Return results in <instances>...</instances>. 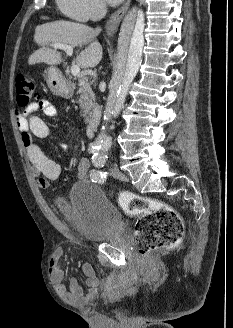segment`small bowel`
Masks as SVG:
<instances>
[{
	"label": "small bowel",
	"instance_id": "c3829d8e",
	"mask_svg": "<svg viewBox=\"0 0 233 328\" xmlns=\"http://www.w3.org/2000/svg\"><path fill=\"white\" fill-rule=\"evenodd\" d=\"M37 111H42L47 117H55L57 115V109L51 102L45 99L38 100L27 105L23 112H17V126L28 159L32 165L37 185L41 188H47L50 181L59 177L61 166L50 159L35 142V138H46L50 134L49 127L42 118L36 115ZM88 168L89 161L87 158H81L77 167V177L79 179L86 178ZM62 257L63 250H55L50 257L48 265L50 278L57 294L64 301L72 304H84L93 300L97 293L98 279L91 264L84 263L82 265L87 288L85 291L78 280L74 278L70 280L67 287L63 283L65 273L61 266Z\"/></svg>",
	"mask_w": 233,
	"mask_h": 328
}]
</instances>
